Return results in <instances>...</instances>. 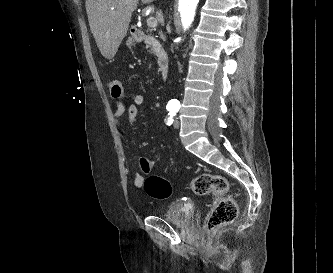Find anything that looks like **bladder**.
I'll list each match as a JSON object with an SVG mask.
<instances>
[{
	"instance_id": "31cf9c89",
	"label": "bladder",
	"mask_w": 333,
	"mask_h": 273,
	"mask_svg": "<svg viewBox=\"0 0 333 273\" xmlns=\"http://www.w3.org/2000/svg\"><path fill=\"white\" fill-rule=\"evenodd\" d=\"M162 216L175 226H187L194 218V206L182 201L173 202L165 207Z\"/></svg>"
}]
</instances>
